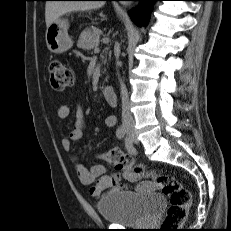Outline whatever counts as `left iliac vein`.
Segmentation results:
<instances>
[{"label": "left iliac vein", "mask_w": 231, "mask_h": 231, "mask_svg": "<svg viewBox=\"0 0 231 231\" xmlns=\"http://www.w3.org/2000/svg\"><path fill=\"white\" fill-rule=\"evenodd\" d=\"M129 136H130V139H131V141H132L133 143H135V144H138V143H139V141H138V139H137L135 133L132 132Z\"/></svg>", "instance_id": "4c4485c4"}]
</instances>
